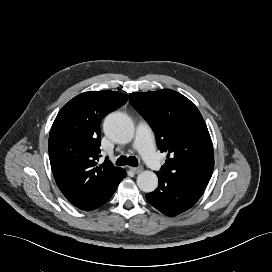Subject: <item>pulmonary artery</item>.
<instances>
[{
    "label": "pulmonary artery",
    "mask_w": 272,
    "mask_h": 272,
    "mask_svg": "<svg viewBox=\"0 0 272 272\" xmlns=\"http://www.w3.org/2000/svg\"><path fill=\"white\" fill-rule=\"evenodd\" d=\"M133 146L153 170L162 171V164L153 144L152 132L144 122L138 124Z\"/></svg>",
    "instance_id": "pulmonary-artery-1"
}]
</instances>
